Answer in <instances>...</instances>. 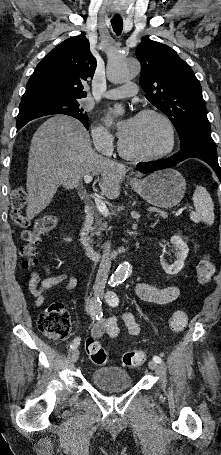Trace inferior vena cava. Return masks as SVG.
<instances>
[{
  "instance_id": "inferior-vena-cava-1",
  "label": "inferior vena cava",
  "mask_w": 221,
  "mask_h": 455,
  "mask_svg": "<svg viewBox=\"0 0 221 455\" xmlns=\"http://www.w3.org/2000/svg\"><path fill=\"white\" fill-rule=\"evenodd\" d=\"M111 244L110 242H106L103 245V255L102 260L99 265V269L96 275L95 280V287H102L104 288L107 282L108 274L111 268Z\"/></svg>"
}]
</instances>
